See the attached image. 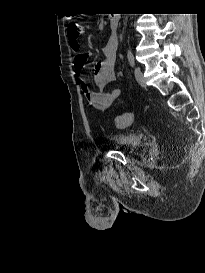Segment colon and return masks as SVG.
I'll list each match as a JSON object with an SVG mask.
<instances>
[{
	"label": "colon",
	"instance_id": "colon-1",
	"mask_svg": "<svg viewBox=\"0 0 205 273\" xmlns=\"http://www.w3.org/2000/svg\"><path fill=\"white\" fill-rule=\"evenodd\" d=\"M82 32V26L77 23H71L68 26V34L70 36L75 35L79 36ZM133 121V117L130 113H125L123 115H119L114 119V124L117 127L124 128L130 126Z\"/></svg>",
	"mask_w": 205,
	"mask_h": 273
}]
</instances>
